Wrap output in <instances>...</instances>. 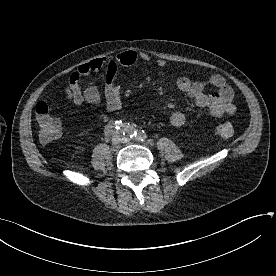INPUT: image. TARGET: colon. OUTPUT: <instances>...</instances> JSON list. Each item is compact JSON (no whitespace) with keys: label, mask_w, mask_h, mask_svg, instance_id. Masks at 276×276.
I'll return each mask as SVG.
<instances>
[{"label":"colon","mask_w":276,"mask_h":276,"mask_svg":"<svg viewBox=\"0 0 276 276\" xmlns=\"http://www.w3.org/2000/svg\"><path fill=\"white\" fill-rule=\"evenodd\" d=\"M35 115L39 127V139L42 143H49L60 136L61 123L50 114L46 102L40 101L36 104ZM214 134L223 140L230 139L234 135V126L231 122L222 120L216 124Z\"/></svg>","instance_id":"colon-1"}]
</instances>
